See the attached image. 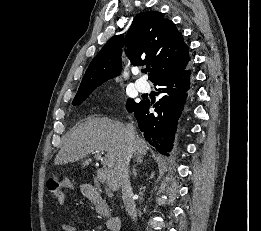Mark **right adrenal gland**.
I'll return each mask as SVG.
<instances>
[{
    "label": "right adrenal gland",
    "instance_id": "2a0ac1e0",
    "mask_svg": "<svg viewBox=\"0 0 261 231\" xmlns=\"http://www.w3.org/2000/svg\"><path fill=\"white\" fill-rule=\"evenodd\" d=\"M141 162V161H140ZM133 175H134V178H136L137 177V169L134 167V169H133Z\"/></svg>",
    "mask_w": 261,
    "mask_h": 231
}]
</instances>
